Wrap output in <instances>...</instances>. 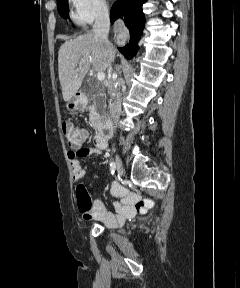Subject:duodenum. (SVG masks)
<instances>
[{"instance_id": "410a0bca", "label": "duodenum", "mask_w": 240, "mask_h": 288, "mask_svg": "<svg viewBox=\"0 0 240 288\" xmlns=\"http://www.w3.org/2000/svg\"><path fill=\"white\" fill-rule=\"evenodd\" d=\"M93 124L98 128L99 133L95 138L96 145L100 148H106L108 146V138L106 131L108 129V124L104 115L96 113L93 115Z\"/></svg>"}]
</instances>
